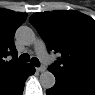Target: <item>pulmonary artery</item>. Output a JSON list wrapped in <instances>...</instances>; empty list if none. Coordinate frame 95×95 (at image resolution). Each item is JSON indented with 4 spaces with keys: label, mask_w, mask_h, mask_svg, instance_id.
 <instances>
[{
    "label": "pulmonary artery",
    "mask_w": 95,
    "mask_h": 95,
    "mask_svg": "<svg viewBox=\"0 0 95 95\" xmlns=\"http://www.w3.org/2000/svg\"><path fill=\"white\" fill-rule=\"evenodd\" d=\"M35 51L41 60L46 64H53L54 58L49 55L45 49V45L41 40H38L35 44Z\"/></svg>",
    "instance_id": "pulmonary-artery-1"
}]
</instances>
